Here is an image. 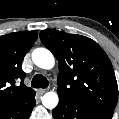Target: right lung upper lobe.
Instances as JSON below:
<instances>
[{"label":"right lung upper lobe","mask_w":119,"mask_h":119,"mask_svg":"<svg viewBox=\"0 0 119 119\" xmlns=\"http://www.w3.org/2000/svg\"><path fill=\"white\" fill-rule=\"evenodd\" d=\"M37 37L35 31H21L0 36V106L34 93L31 88L24 85L26 74L22 70V62Z\"/></svg>","instance_id":"cb5924a9"}]
</instances>
